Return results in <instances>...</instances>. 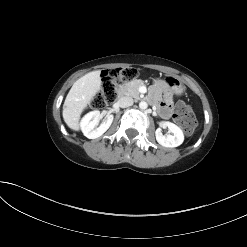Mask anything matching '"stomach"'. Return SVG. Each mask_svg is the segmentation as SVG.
<instances>
[{
	"label": "stomach",
	"instance_id": "obj_1",
	"mask_svg": "<svg viewBox=\"0 0 247 247\" xmlns=\"http://www.w3.org/2000/svg\"><path fill=\"white\" fill-rule=\"evenodd\" d=\"M165 82L169 89L176 95H181L185 91V86L177 77L167 76Z\"/></svg>",
	"mask_w": 247,
	"mask_h": 247
}]
</instances>
